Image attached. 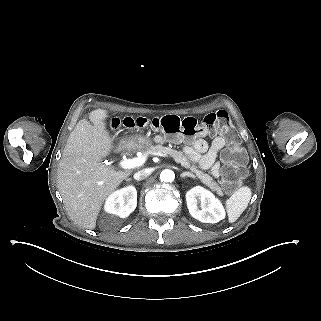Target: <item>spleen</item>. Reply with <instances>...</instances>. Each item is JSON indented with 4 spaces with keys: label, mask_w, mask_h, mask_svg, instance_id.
Returning <instances> with one entry per match:
<instances>
[{
    "label": "spleen",
    "mask_w": 321,
    "mask_h": 321,
    "mask_svg": "<svg viewBox=\"0 0 321 321\" xmlns=\"http://www.w3.org/2000/svg\"><path fill=\"white\" fill-rule=\"evenodd\" d=\"M252 192L247 186L240 187L226 200V211L230 223L235 222L247 208Z\"/></svg>",
    "instance_id": "obj_1"
}]
</instances>
